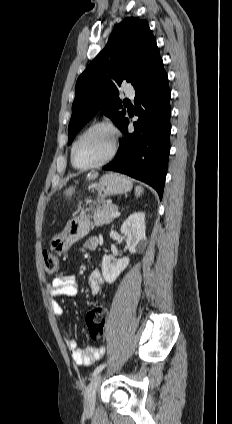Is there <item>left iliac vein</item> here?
<instances>
[{"label":"left iliac vein","mask_w":232,"mask_h":424,"mask_svg":"<svg viewBox=\"0 0 232 424\" xmlns=\"http://www.w3.org/2000/svg\"><path fill=\"white\" fill-rule=\"evenodd\" d=\"M100 379H101V374H97L86 388V391L84 394L85 413H91L94 410L96 390L100 382Z\"/></svg>","instance_id":"left-iliac-vein-1"}]
</instances>
